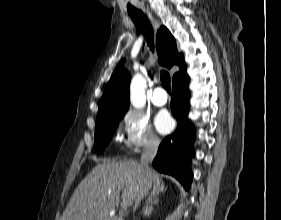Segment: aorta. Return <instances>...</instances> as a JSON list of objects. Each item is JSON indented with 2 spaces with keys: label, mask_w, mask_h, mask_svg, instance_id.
<instances>
[{
  "label": "aorta",
  "mask_w": 281,
  "mask_h": 220,
  "mask_svg": "<svg viewBox=\"0 0 281 220\" xmlns=\"http://www.w3.org/2000/svg\"><path fill=\"white\" fill-rule=\"evenodd\" d=\"M146 83L140 74L134 75L130 84V102L135 108H143L146 104Z\"/></svg>",
  "instance_id": "aorta-1"
}]
</instances>
